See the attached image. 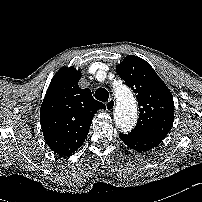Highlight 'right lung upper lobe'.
Instances as JSON below:
<instances>
[{
  "instance_id": "1",
  "label": "right lung upper lobe",
  "mask_w": 202,
  "mask_h": 202,
  "mask_svg": "<svg viewBox=\"0 0 202 202\" xmlns=\"http://www.w3.org/2000/svg\"><path fill=\"white\" fill-rule=\"evenodd\" d=\"M81 72L63 67L52 78L40 110L45 142L60 156L76 151L88 135L94 114L106 109L92 97L89 88L81 89Z\"/></svg>"
}]
</instances>
